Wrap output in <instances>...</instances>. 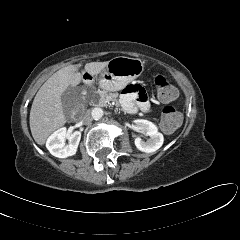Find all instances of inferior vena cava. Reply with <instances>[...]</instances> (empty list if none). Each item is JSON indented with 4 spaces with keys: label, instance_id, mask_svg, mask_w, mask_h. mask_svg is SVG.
Listing matches in <instances>:
<instances>
[{
    "label": "inferior vena cava",
    "instance_id": "602c4592",
    "mask_svg": "<svg viewBox=\"0 0 240 240\" xmlns=\"http://www.w3.org/2000/svg\"><path fill=\"white\" fill-rule=\"evenodd\" d=\"M82 121H83L84 124H90V123H91L92 117H91V114H90L89 111H87V112L84 114V116H83V118H82Z\"/></svg>",
    "mask_w": 240,
    "mask_h": 240
}]
</instances>
